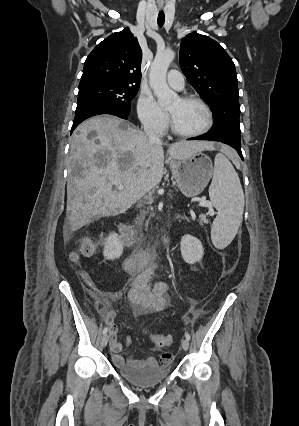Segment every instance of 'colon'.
Here are the masks:
<instances>
[{"label":"colon","instance_id":"1","mask_svg":"<svg viewBox=\"0 0 299 426\" xmlns=\"http://www.w3.org/2000/svg\"><path fill=\"white\" fill-rule=\"evenodd\" d=\"M95 246L96 245L92 240L85 239L81 242L78 248V253L83 255H89L94 251ZM148 337L157 348L168 347L172 344V337L170 335L148 333Z\"/></svg>","mask_w":299,"mask_h":426}]
</instances>
